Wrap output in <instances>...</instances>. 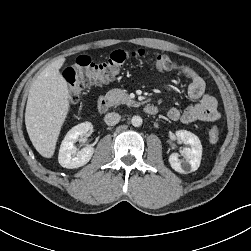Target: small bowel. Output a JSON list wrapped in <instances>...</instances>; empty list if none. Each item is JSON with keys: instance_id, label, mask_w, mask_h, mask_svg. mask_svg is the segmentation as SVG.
Instances as JSON below:
<instances>
[{"instance_id": "obj_1", "label": "small bowel", "mask_w": 251, "mask_h": 251, "mask_svg": "<svg viewBox=\"0 0 251 251\" xmlns=\"http://www.w3.org/2000/svg\"><path fill=\"white\" fill-rule=\"evenodd\" d=\"M179 70L190 79L187 90L189 98L198 100V102L183 111L176 107L170 108L167 112L168 119L181 121L184 124L216 121L219 118L217 100L214 96L206 93L203 78L188 65H181Z\"/></svg>"}]
</instances>
